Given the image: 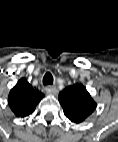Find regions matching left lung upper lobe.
<instances>
[{"label":"left lung upper lobe","instance_id":"obj_1","mask_svg":"<svg viewBox=\"0 0 118 142\" xmlns=\"http://www.w3.org/2000/svg\"><path fill=\"white\" fill-rule=\"evenodd\" d=\"M65 116L74 123L83 122L96 108V102L82 84H74L59 94Z\"/></svg>","mask_w":118,"mask_h":142}]
</instances>
